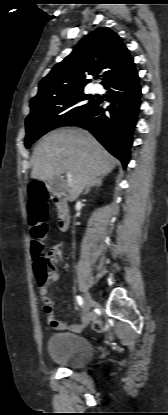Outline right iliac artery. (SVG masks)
Here are the masks:
<instances>
[{
	"label": "right iliac artery",
	"mask_w": 168,
	"mask_h": 415,
	"mask_svg": "<svg viewBox=\"0 0 168 415\" xmlns=\"http://www.w3.org/2000/svg\"><path fill=\"white\" fill-rule=\"evenodd\" d=\"M76 299H77L78 304L80 306H82L83 305V299H82V297L81 296H77Z\"/></svg>",
	"instance_id": "1"
}]
</instances>
